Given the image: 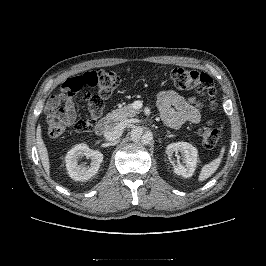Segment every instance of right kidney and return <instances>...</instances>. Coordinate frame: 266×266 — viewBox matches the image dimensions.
I'll return each mask as SVG.
<instances>
[{"label": "right kidney", "instance_id": "ca27d5eb", "mask_svg": "<svg viewBox=\"0 0 266 266\" xmlns=\"http://www.w3.org/2000/svg\"><path fill=\"white\" fill-rule=\"evenodd\" d=\"M81 156L90 158V166L78 164ZM65 161L68 174L72 179L86 181L98 172L103 161V154L100 151L89 149L86 144L82 143L68 151Z\"/></svg>", "mask_w": 266, "mask_h": 266}]
</instances>
